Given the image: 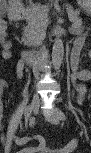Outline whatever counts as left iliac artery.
Returning a JSON list of instances; mask_svg holds the SVG:
<instances>
[{
	"mask_svg": "<svg viewBox=\"0 0 91 153\" xmlns=\"http://www.w3.org/2000/svg\"><path fill=\"white\" fill-rule=\"evenodd\" d=\"M57 112H58V116L61 120H66L65 114L60 109H58Z\"/></svg>",
	"mask_w": 91,
	"mask_h": 153,
	"instance_id": "obj_1",
	"label": "left iliac artery"
}]
</instances>
